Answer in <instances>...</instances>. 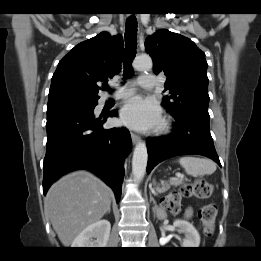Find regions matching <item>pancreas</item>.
<instances>
[{
  "mask_svg": "<svg viewBox=\"0 0 261 261\" xmlns=\"http://www.w3.org/2000/svg\"><path fill=\"white\" fill-rule=\"evenodd\" d=\"M181 182H177V184H180ZM158 192H163L164 190H165V187H163V188H157L156 189Z\"/></svg>",
  "mask_w": 261,
  "mask_h": 261,
  "instance_id": "pancreas-1",
  "label": "pancreas"
}]
</instances>
